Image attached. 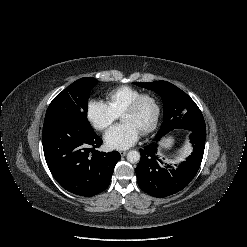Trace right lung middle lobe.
I'll return each mask as SVG.
<instances>
[{"instance_id":"1","label":"right lung middle lobe","mask_w":247,"mask_h":247,"mask_svg":"<svg viewBox=\"0 0 247 247\" xmlns=\"http://www.w3.org/2000/svg\"><path fill=\"white\" fill-rule=\"evenodd\" d=\"M97 83L98 80L95 78L84 77L69 85L50 103L45 120L66 117L80 120L90 126L87 120V102L90 96V90Z\"/></svg>"}]
</instances>
